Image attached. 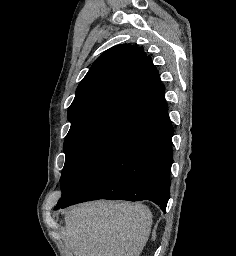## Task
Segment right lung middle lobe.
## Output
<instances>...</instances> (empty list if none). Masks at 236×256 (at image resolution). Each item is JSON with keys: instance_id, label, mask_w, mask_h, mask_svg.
<instances>
[{"instance_id": "dd1d6c3e", "label": "right lung middle lobe", "mask_w": 236, "mask_h": 256, "mask_svg": "<svg viewBox=\"0 0 236 256\" xmlns=\"http://www.w3.org/2000/svg\"><path fill=\"white\" fill-rule=\"evenodd\" d=\"M149 125L125 113H111L71 126L64 143L59 202L66 201L103 161Z\"/></svg>"}]
</instances>
